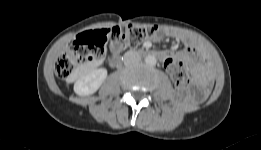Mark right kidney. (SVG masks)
Segmentation results:
<instances>
[{"label": "right kidney", "mask_w": 261, "mask_h": 150, "mask_svg": "<svg viewBox=\"0 0 261 150\" xmlns=\"http://www.w3.org/2000/svg\"><path fill=\"white\" fill-rule=\"evenodd\" d=\"M106 77L107 70L105 68L93 70L75 82L74 91L80 96L92 95L100 88Z\"/></svg>", "instance_id": "1"}]
</instances>
